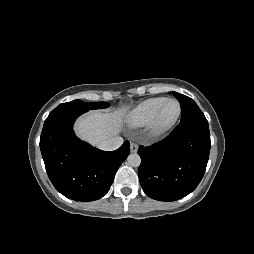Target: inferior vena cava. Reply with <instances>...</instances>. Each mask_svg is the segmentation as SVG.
<instances>
[{
  "instance_id": "1",
  "label": "inferior vena cava",
  "mask_w": 254,
  "mask_h": 254,
  "mask_svg": "<svg viewBox=\"0 0 254 254\" xmlns=\"http://www.w3.org/2000/svg\"><path fill=\"white\" fill-rule=\"evenodd\" d=\"M123 144V138L120 136L112 137L104 140L99 144V149L104 151H113L118 149Z\"/></svg>"
}]
</instances>
